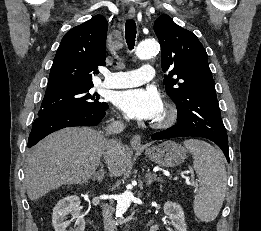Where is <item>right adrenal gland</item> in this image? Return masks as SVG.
<instances>
[{
	"label": "right adrenal gland",
	"instance_id": "2a0ac1e0",
	"mask_svg": "<svg viewBox=\"0 0 261 231\" xmlns=\"http://www.w3.org/2000/svg\"><path fill=\"white\" fill-rule=\"evenodd\" d=\"M104 175H105V173H104L103 164H100V169L98 172H96L94 174V176L92 177V180L93 181L97 180L99 183H101L102 179L104 178Z\"/></svg>",
	"mask_w": 261,
	"mask_h": 231
}]
</instances>
